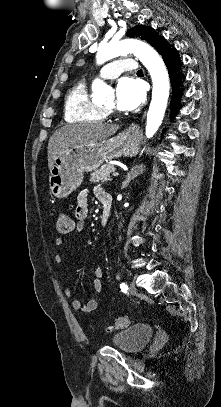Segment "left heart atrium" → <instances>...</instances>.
I'll use <instances>...</instances> for the list:
<instances>
[{
    "instance_id": "obj_1",
    "label": "left heart atrium",
    "mask_w": 221,
    "mask_h": 407,
    "mask_svg": "<svg viewBox=\"0 0 221 407\" xmlns=\"http://www.w3.org/2000/svg\"><path fill=\"white\" fill-rule=\"evenodd\" d=\"M116 99L118 106L123 110H134L145 99V87L143 83L133 77H122L116 84Z\"/></svg>"
}]
</instances>
